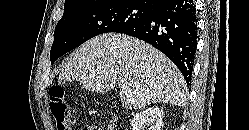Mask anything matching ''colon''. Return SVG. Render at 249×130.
Masks as SVG:
<instances>
[{"label": "colon", "mask_w": 249, "mask_h": 130, "mask_svg": "<svg viewBox=\"0 0 249 130\" xmlns=\"http://www.w3.org/2000/svg\"><path fill=\"white\" fill-rule=\"evenodd\" d=\"M50 111L58 130H72L75 125V115L72 107L65 98V91L61 86L50 89Z\"/></svg>", "instance_id": "obj_1"}]
</instances>
